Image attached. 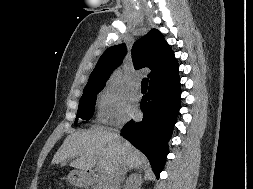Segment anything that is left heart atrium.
Segmentation results:
<instances>
[{
  "mask_svg": "<svg viewBox=\"0 0 253 189\" xmlns=\"http://www.w3.org/2000/svg\"><path fill=\"white\" fill-rule=\"evenodd\" d=\"M127 111L131 114H136L137 113V108L133 105H130Z\"/></svg>",
  "mask_w": 253,
  "mask_h": 189,
  "instance_id": "obj_1",
  "label": "left heart atrium"
}]
</instances>
